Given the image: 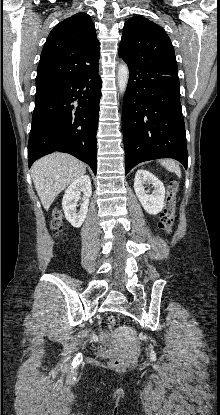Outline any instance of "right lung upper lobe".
I'll list each match as a JSON object with an SVG mask.
<instances>
[{
	"label": "right lung upper lobe",
	"mask_w": 220,
	"mask_h": 415,
	"mask_svg": "<svg viewBox=\"0 0 220 415\" xmlns=\"http://www.w3.org/2000/svg\"><path fill=\"white\" fill-rule=\"evenodd\" d=\"M99 41L90 16L77 13L56 25L44 44L36 86L57 85L99 68Z\"/></svg>",
	"instance_id": "cb5924a9"
}]
</instances>
